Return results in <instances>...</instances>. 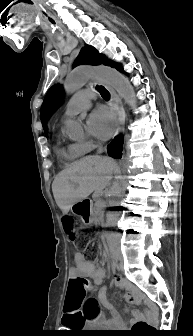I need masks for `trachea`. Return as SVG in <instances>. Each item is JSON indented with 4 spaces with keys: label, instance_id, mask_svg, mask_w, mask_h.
<instances>
[{
    "label": "trachea",
    "instance_id": "trachea-1",
    "mask_svg": "<svg viewBox=\"0 0 193 336\" xmlns=\"http://www.w3.org/2000/svg\"><path fill=\"white\" fill-rule=\"evenodd\" d=\"M103 99L108 100L110 98L109 92L102 86L97 87Z\"/></svg>",
    "mask_w": 193,
    "mask_h": 336
}]
</instances>
